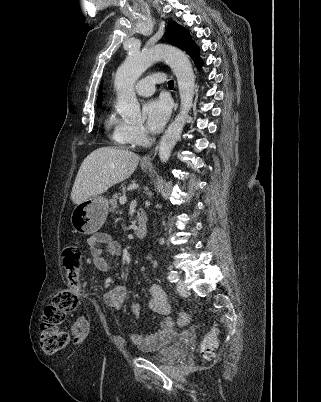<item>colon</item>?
I'll list each match as a JSON object with an SVG mask.
<instances>
[{"mask_svg": "<svg viewBox=\"0 0 321 402\" xmlns=\"http://www.w3.org/2000/svg\"><path fill=\"white\" fill-rule=\"evenodd\" d=\"M63 262L67 272L69 288L58 291L51 303L45 308L40 326V344L45 353L53 354L67 347L69 334L62 328L68 315L78 306L76 292L83 290L80 280L81 253L77 243L73 240L67 242L63 250ZM188 315L179 312L176 322L183 327L188 324ZM217 332L211 331L201 343V352L205 359L211 360L216 356Z\"/></svg>", "mask_w": 321, "mask_h": 402, "instance_id": "colon-1", "label": "colon"}]
</instances>
